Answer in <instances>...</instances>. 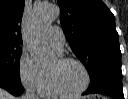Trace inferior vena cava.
Instances as JSON below:
<instances>
[{
  "instance_id": "1",
  "label": "inferior vena cava",
  "mask_w": 128,
  "mask_h": 99,
  "mask_svg": "<svg viewBox=\"0 0 128 99\" xmlns=\"http://www.w3.org/2000/svg\"><path fill=\"white\" fill-rule=\"evenodd\" d=\"M24 99H38L33 89L26 91Z\"/></svg>"
}]
</instances>
